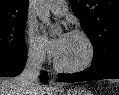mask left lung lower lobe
Returning a JSON list of instances; mask_svg holds the SVG:
<instances>
[{
	"label": "left lung lower lobe",
	"instance_id": "left-lung-lower-lobe-1",
	"mask_svg": "<svg viewBox=\"0 0 119 95\" xmlns=\"http://www.w3.org/2000/svg\"><path fill=\"white\" fill-rule=\"evenodd\" d=\"M58 78L63 82H81L98 79H119V57L112 60L104 68H95L90 66L89 69L73 74H58Z\"/></svg>",
	"mask_w": 119,
	"mask_h": 95
}]
</instances>
